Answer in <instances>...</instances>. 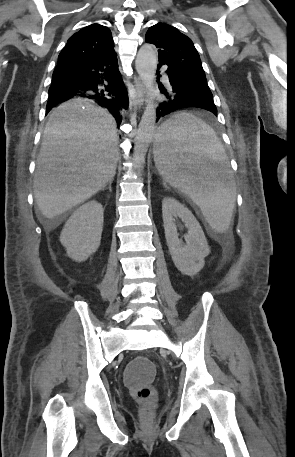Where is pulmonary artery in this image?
Segmentation results:
<instances>
[{"label": "pulmonary artery", "instance_id": "1", "mask_svg": "<svg viewBox=\"0 0 295 457\" xmlns=\"http://www.w3.org/2000/svg\"><path fill=\"white\" fill-rule=\"evenodd\" d=\"M164 79L167 80V75H164Z\"/></svg>", "mask_w": 295, "mask_h": 457}]
</instances>
